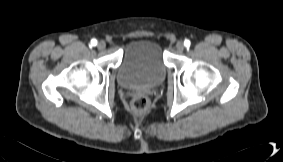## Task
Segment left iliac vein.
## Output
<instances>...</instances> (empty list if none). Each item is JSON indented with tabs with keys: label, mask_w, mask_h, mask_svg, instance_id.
<instances>
[{
	"label": "left iliac vein",
	"mask_w": 283,
	"mask_h": 162,
	"mask_svg": "<svg viewBox=\"0 0 283 162\" xmlns=\"http://www.w3.org/2000/svg\"><path fill=\"white\" fill-rule=\"evenodd\" d=\"M176 50L180 53L184 50V43L182 41H178L176 43Z\"/></svg>",
	"instance_id": "obj_1"
}]
</instances>
